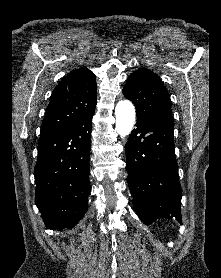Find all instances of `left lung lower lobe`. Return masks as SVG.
Segmentation results:
<instances>
[{
	"label": "left lung lower lobe",
	"mask_w": 221,
	"mask_h": 278,
	"mask_svg": "<svg viewBox=\"0 0 221 278\" xmlns=\"http://www.w3.org/2000/svg\"><path fill=\"white\" fill-rule=\"evenodd\" d=\"M125 145L128 185L144 224L173 219L182 224L181 187L173 140V119L137 118Z\"/></svg>",
	"instance_id": "obj_1"
}]
</instances>
